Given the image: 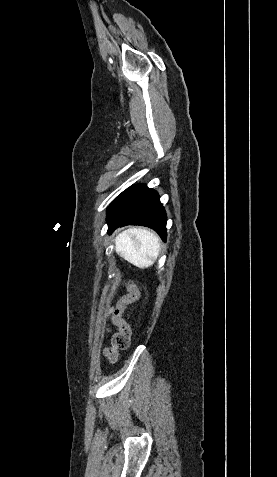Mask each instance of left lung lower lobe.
Here are the masks:
<instances>
[{
  "mask_svg": "<svg viewBox=\"0 0 277 477\" xmlns=\"http://www.w3.org/2000/svg\"><path fill=\"white\" fill-rule=\"evenodd\" d=\"M108 233L125 225H142L155 230L166 241V213L159 195L146 185L137 184L122 192L107 210Z\"/></svg>",
  "mask_w": 277,
  "mask_h": 477,
  "instance_id": "obj_1",
  "label": "left lung lower lobe"
}]
</instances>
